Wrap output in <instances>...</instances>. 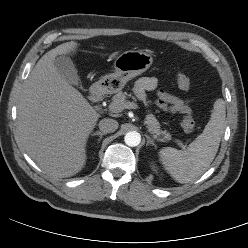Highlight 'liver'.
<instances>
[{"instance_id":"1","label":"liver","mask_w":248,"mask_h":248,"mask_svg":"<svg viewBox=\"0 0 248 248\" xmlns=\"http://www.w3.org/2000/svg\"><path fill=\"white\" fill-rule=\"evenodd\" d=\"M63 43L44 54L25 81L17 106L18 137L47 174L65 178L86 163V141L100 115L58 73L54 61L78 47Z\"/></svg>"}]
</instances>
